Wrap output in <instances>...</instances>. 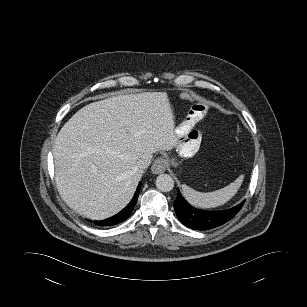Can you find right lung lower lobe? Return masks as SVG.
I'll list each match as a JSON object with an SVG mask.
<instances>
[{"label": "right lung lower lobe", "mask_w": 307, "mask_h": 307, "mask_svg": "<svg viewBox=\"0 0 307 307\" xmlns=\"http://www.w3.org/2000/svg\"><path fill=\"white\" fill-rule=\"evenodd\" d=\"M140 186H141V183H139L137 190L135 192V195H134L133 199L131 200V202L129 203V205L126 208H124L121 212H119L118 214H116L115 216H113L111 218L101 220V221H93V223L98 225V226L107 227V226H114V225L121 223L124 220H126L129 217V215L131 214V212H132V210H133V208H134V206L137 202L139 192H140Z\"/></svg>", "instance_id": "1"}]
</instances>
